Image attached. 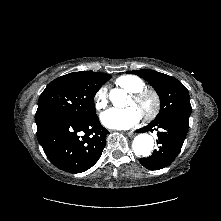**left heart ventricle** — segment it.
I'll return each mask as SVG.
<instances>
[{
	"mask_svg": "<svg viewBox=\"0 0 221 221\" xmlns=\"http://www.w3.org/2000/svg\"><path fill=\"white\" fill-rule=\"evenodd\" d=\"M127 106H134L140 111L141 114H143L144 112H146L151 108L152 102L151 99L147 98L142 103L136 104L133 98L131 97Z\"/></svg>",
	"mask_w": 221,
	"mask_h": 221,
	"instance_id": "left-heart-ventricle-1",
	"label": "left heart ventricle"
}]
</instances>
